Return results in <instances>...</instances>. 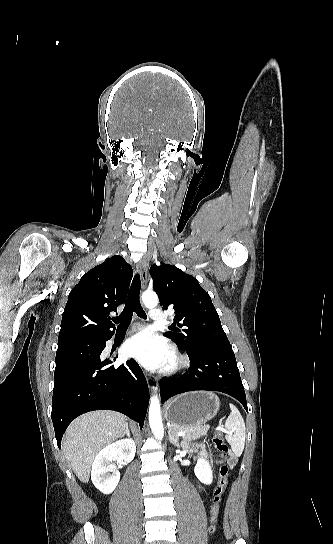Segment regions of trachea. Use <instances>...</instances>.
<instances>
[{
	"label": "trachea",
	"mask_w": 333,
	"mask_h": 544,
	"mask_svg": "<svg viewBox=\"0 0 333 544\" xmlns=\"http://www.w3.org/2000/svg\"><path fill=\"white\" fill-rule=\"evenodd\" d=\"M140 288L141 279L140 275L137 273L133 278L128 298L122 313L118 317L113 318V322L119 324L118 330H124L128 328L132 319L133 312H136V314L143 319L147 318L139 300Z\"/></svg>",
	"instance_id": "trachea-1"
}]
</instances>
